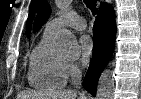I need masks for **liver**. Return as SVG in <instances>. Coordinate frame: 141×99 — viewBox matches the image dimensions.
<instances>
[{
    "mask_svg": "<svg viewBox=\"0 0 141 99\" xmlns=\"http://www.w3.org/2000/svg\"><path fill=\"white\" fill-rule=\"evenodd\" d=\"M77 91L64 90L55 92L27 91L18 94L17 99H76Z\"/></svg>",
    "mask_w": 141,
    "mask_h": 99,
    "instance_id": "liver-1",
    "label": "liver"
}]
</instances>
